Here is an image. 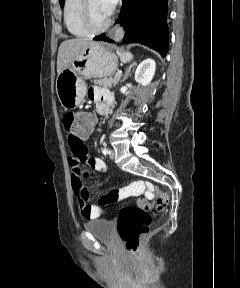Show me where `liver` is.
I'll list each match as a JSON object with an SVG mask.
<instances>
[{
  "mask_svg": "<svg viewBox=\"0 0 240 288\" xmlns=\"http://www.w3.org/2000/svg\"><path fill=\"white\" fill-rule=\"evenodd\" d=\"M89 38H74L63 41L58 49L57 73L58 75L68 67L83 51L92 44Z\"/></svg>",
  "mask_w": 240,
  "mask_h": 288,
  "instance_id": "1",
  "label": "liver"
}]
</instances>
